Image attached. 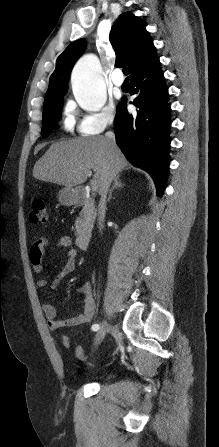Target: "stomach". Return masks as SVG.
Segmentation results:
<instances>
[{"instance_id": "0dacf381", "label": "stomach", "mask_w": 219, "mask_h": 447, "mask_svg": "<svg viewBox=\"0 0 219 447\" xmlns=\"http://www.w3.org/2000/svg\"><path fill=\"white\" fill-rule=\"evenodd\" d=\"M58 199L61 204L71 206L78 200V189L73 187H64L59 191Z\"/></svg>"}]
</instances>
